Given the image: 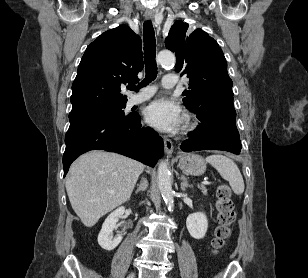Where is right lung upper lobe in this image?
<instances>
[{
    "mask_svg": "<svg viewBox=\"0 0 308 278\" xmlns=\"http://www.w3.org/2000/svg\"><path fill=\"white\" fill-rule=\"evenodd\" d=\"M143 66L141 39L128 26L120 25L98 36L79 64L69 116L126 103L121 86L138 79Z\"/></svg>",
    "mask_w": 308,
    "mask_h": 278,
    "instance_id": "cb5924a9",
    "label": "right lung upper lobe"
}]
</instances>
